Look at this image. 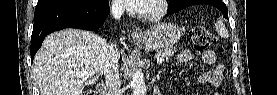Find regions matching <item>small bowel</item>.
Listing matches in <instances>:
<instances>
[{
	"mask_svg": "<svg viewBox=\"0 0 277 95\" xmlns=\"http://www.w3.org/2000/svg\"><path fill=\"white\" fill-rule=\"evenodd\" d=\"M198 57L201 59L204 65L210 68L205 71L200 80L204 83H210L218 85L222 78L223 70L220 66H216V56L212 50H206L201 52ZM194 59V54L191 51H182L178 56V63L184 65ZM216 94H222L220 92Z\"/></svg>",
	"mask_w": 277,
	"mask_h": 95,
	"instance_id": "c3829d8e",
	"label": "small bowel"
}]
</instances>
